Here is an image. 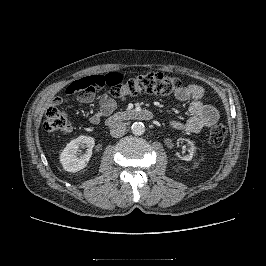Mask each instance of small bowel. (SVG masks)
<instances>
[{
	"mask_svg": "<svg viewBox=\"0 0 266 266\" xmlns=\"http://www.w3.org/2000/svg\"><path fill=\"white\" fill-rule=\"evenodd\" d=\"M175 98L182 102H190V117L185 121H172L171 126L174 129L198 133L219 120L218 110L208 103L205 90L201 86L189 84L180 87L175 93ZM67 101L68 99L57 97L54 103L62 104ZM77 101L85 104L97 102L98 110L90 118L92 124H99L103 117L110 115L116 108V102L111 96L108 94L96 96L93 91L81 94L77 97Z\"/></svg>",
	"mask_w": 266,
	"mask_h": 266,
	"instance_id": "c3829d8e",
	"label": "small bowel"
}]
</instances>
